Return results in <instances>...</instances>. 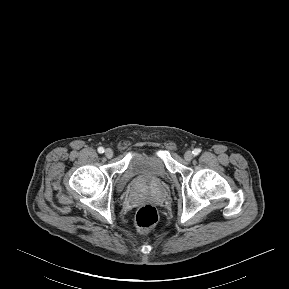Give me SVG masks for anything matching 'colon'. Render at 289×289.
Returning <instances> with one entry per match:
<instances>
[{"label":"colon","mask_w":289,"mask_h":289,"mask_svg":"<svg viewBox=\"0 0 289 289\" xmlns=\"http://www.w3.org/2000/svg\"><path fill=\"white\" fill-rule=\"evenodd\" d=\"M136 225L142 232L151 229L158 221V212L156 208L150 204L141 206L136 213Z\"/></svg>","instance_id":"colon-1"}]
</instances>
